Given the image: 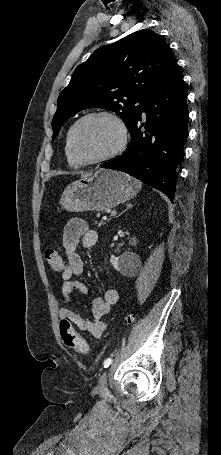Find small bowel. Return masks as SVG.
<instances>
[{"mask_svg": "<svg viewBox=\"0 0 221 455\" xmlns=\"http://www.w3.org/2000/svg\"><path fill=\"white\" fill-rule=\"evenodd\" d=\"M99 240L98 233L89 229L88 225L81 219L70 220L63 230V247L67 256V267L62 272V293L67 303L73 300L74 290L81 294L88 293V287L78 277L84 271V262L76 252L79 245L85 248L94 247ZM118 300V292L114 287H108L103 291L101 297L92 301V319H86L69 307H61L58 311L61 320L66 319L77 326L81 331L89 333L97 339H101L106 331V324L103 317L107 315L112 305Z\"/></svg>", "mask_w": 221, "mask_h": 455, "instance_id": "small-bowel-1", "label": "small bowel"}]
</instances>
